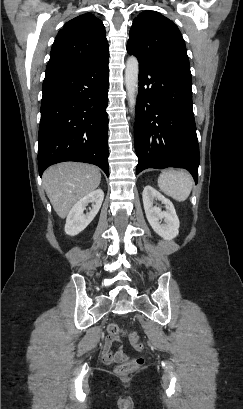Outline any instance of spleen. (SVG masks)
<instances>
[{
  "label": "spleen",
  "instance_id": "obj_1",
  "mask_svg": "<svg viewBox=\"0 0 243 409\" xmlns=\"http://www.w3.org/2000/svg\"><path fill=\"white\" fill-rule=\"evenodd\" d=\"M193 179L184 170L164 171L158 178V186L166 195L177 201H184L190 194Z\"/></svg>",
  "mask_w": 243,
  "mask_h": 409
}]
</instances>
